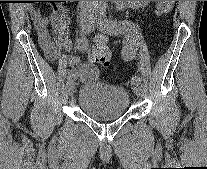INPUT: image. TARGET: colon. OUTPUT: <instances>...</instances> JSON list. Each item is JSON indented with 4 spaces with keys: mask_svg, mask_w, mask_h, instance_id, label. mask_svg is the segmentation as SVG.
<instances>
[{
    "mask_svg": "<svg viewBox=\"0 0 207 169\" xmlns=\"http://www.w3.org/2000/svg\"><path fill=\"white\" fill-rule=\"evenodd\" d=\"M174 5V1H158L157 12L165 14L169 12ZM89 59L95 65L108 66L111 61V53L107 40L104 37H97L94 45L89 51Z\"/></svg>",
    "mask_w": 207,
    "mask_h": 169,
    "instance_id": "colon-1",
    "label": "colon"
}]
</instances>
